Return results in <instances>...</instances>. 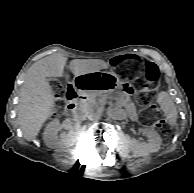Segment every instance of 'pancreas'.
Returning a JSON list of instances; mask_svg holds the SVG:
<instances>
[{
    "mask_svg": "<svg viewBox=\"0 0 194 193\" xmlns=\"http://www.w3.org/2000/svg\"><path fill=\"white\" fill-rule=\"evenodd\" d=\"M106 99H109V100H112V101L116 100L117 102L121 101L122 104L126 103L125 99L121 100L120 97H117L116 95H112L111 93L98 95L97 99H96V102L100 103L101 105H104L105 102H106Z\"/></svg>",
    "mask_w": 194,
    "mask_h": 193,
    "instance_id": "1",
    "label": "pancreas"
}]
</instances>
